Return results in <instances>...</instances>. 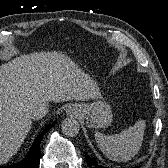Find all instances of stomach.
I'll return each instance as SVG.
<instances>
[{
    "mask_svg": "<svg viewBox=\"0 0 168 168\" xmlns=\"http://www.w3.org/2000/svg\"><path fill=\"white\" fill-rule=\"evenodd\" d=\"M82 116L86 123L92 128L107 127L113 120L110 106L103 100L95 101L91 104H84Z\"/></svg>",
    "mask_w": 168,
    "mask_h": 168,
    "instance_id": "stomach-1",
    "label": "stomach"
}]
</instances>
